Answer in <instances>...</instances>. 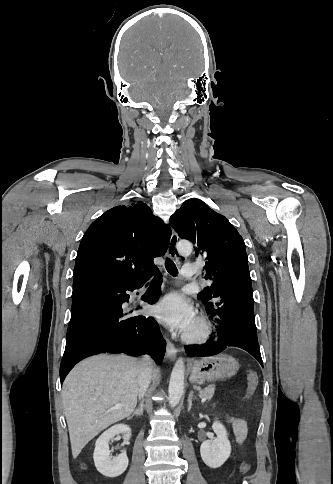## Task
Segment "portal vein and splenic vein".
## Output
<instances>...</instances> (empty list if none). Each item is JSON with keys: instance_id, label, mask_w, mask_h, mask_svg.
<instances>
[{"instance_id": "obj_1", "label": "portal vein and splenic vein", "mask_w": 333, "mask_h": 484, "mask_svg": "<svg viewBox=\"0 0 333 484\" xmlns=\"http://www.w3.org/2000/svg\"><path fill=\"white\" fill-rule=\"evenodd\" d=\"M115 408H122V405L121 404H116L115 405Z\"/></svg>"}]
</instances>
